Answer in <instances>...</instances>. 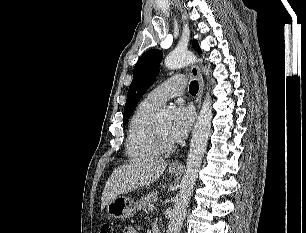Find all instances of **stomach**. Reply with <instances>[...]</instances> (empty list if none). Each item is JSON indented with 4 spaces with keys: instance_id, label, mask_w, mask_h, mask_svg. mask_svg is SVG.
I'll return each instance as SVG.
<instances>
[{
    "instance_id": "0dacf381",
    "label": "stomach",
    "mask_w": 306,
    "mask_h": 233,
    "mask_svg": "<svg viewBox=\"0 0 306 233\" xmlns=\"http://www.w3.org/2000/svg\"><path fill=\"white\" fill-rule=\"evenodd\" d=\"M171 174H177L178 170H169ZM109 216L118 219L130 218L136 212L135 202L126 196H118L106 205Z\"/></svg>"
}]
</instances>
